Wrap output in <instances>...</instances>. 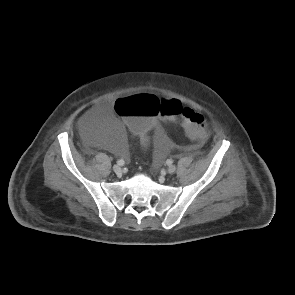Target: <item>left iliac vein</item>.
Masks as SVG:
<instances>
[{"instance_id": "4c4485c4", "label": "left iliac vein", "mask_w": 295, "mask_h": 295, "mask_svg": "<svg viewBox=\"0 0 295 295\" xmlns=\"http://www.w3.org/2000/svg\"><path fill=\"white\" fill-rule=\"evenodd\" d=\"M176 171V166L175 165H170L167 169V172L169 174H173Z\"/></svg>"}]
</instances>
